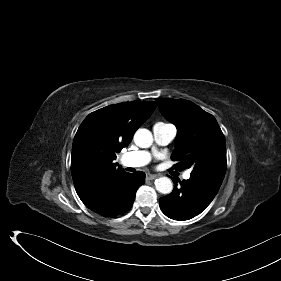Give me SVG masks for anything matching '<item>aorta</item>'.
<instances>
[{
  "label": "aorta",
  "instance_id": "762f6f07",
  "mask_svg": "<svg viewBox=\"0 0 281 281\" xmlns=\"http://www.w3.org/2000/svg\"><path fill=\"white\" fill-rule=\"evenodd\" d=\"M134 142L140 148H149L153 143L152 133L145 128H140L134 134ZM155 188L159 193L169 194L173 190V183L168 177L155 180Z\"/></svg>",
  "mask_w": 281,
  "mask_h": 281
}]
</instances>
